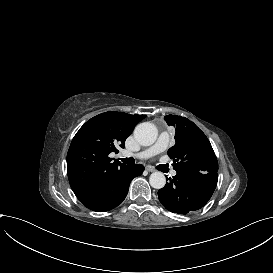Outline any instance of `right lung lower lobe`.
<instances>
[{"label": "right lung lower lobe", "mask_w": 273, "mask_h": 273, "mask_svg": "<svg viewBox=\"0 0 273 273\" xmlns=\"http://www.w3.org/2000/svg\"><path fill=\"white\" fill-rule=\"evenodd\" d=\"M143 171L144 167L140 164L120 168L108 176L95 191L80 201L93 211L111 210L125 199L130 182Z\"/></svg>", "instance_id": "1"}]
</instances>
